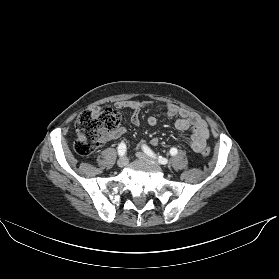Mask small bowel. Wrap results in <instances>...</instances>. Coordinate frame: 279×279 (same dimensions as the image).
<instances>
[{"instance_id": "small-bowel-1", "label": "small bowel", "mask_w": 279, "mask_h": 279, "mask_svg": "<svg viewBox=\"0 0 279 279\" xmlns=\"http://www.w3.org/2000/svg\"><path fill=\"white\" fill-rule=\"evenodd\" d=\"M152 101H139V100H122L116 102V107L119 109H129L132 111L131 122L134 125L140 124V113L152 105ZM166 115L169 118H175V127L180 131H186L191 128V136L187 141L188 146L194 152H201L206 147V142L209 137L208 125L199 115L192 113L186 109L179 108L176 105L169 104L165 107ZM149 126H155L157 119L154 116H150L147 119ZM125 133L124 128L116 130L110 137H118ZM153 145L158 144V139L153 138L151 140Z\"/></svg>"}]
</instances>
